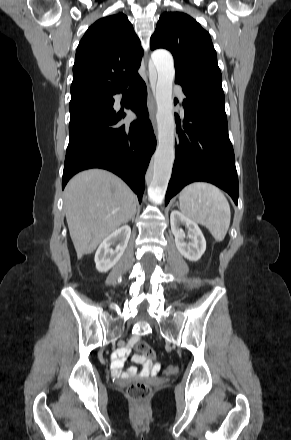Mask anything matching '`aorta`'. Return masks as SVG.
<instances>
[{
    "instance_id": "obj_1",
    "label": "aorta",
    "mask_w": 291,
    "mask_h": 440,
    "mask_svg": "<svg viewBox=\"0 0 291 440\" xmlns=\"http://www.w3.org/2000/svg\"><path fill=\"white\" fill-rule=\"evenodd\" d=\"M152 62L157 70L156 83L158 146L153 156L152 177L148 195L155 201L165 196L175 159V120L173 114L172 87L175 69L172 55L165 50L152 54Z\"/></svg>"
}]
</instances>
